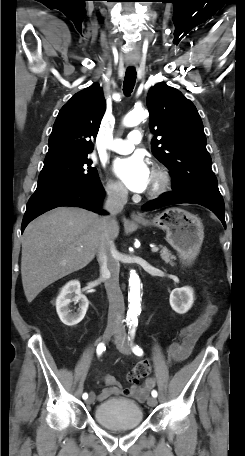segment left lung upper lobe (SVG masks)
Segmentation results:
<instances>
[{"label":"left lung upper lobe","mask_w":245,"mask_h":456,"mask_svg":"<svg viewBox=\"0 0 245 456\" xmlns=\"http://www.w3.org/2000/svg\"><path fill=\"white\" fill-rule=\"evenodd\" d=\"M146 102L155 133L151 150L170 170L173 191L221 195L194 104L164 82L149 90Z\"/></svg>","instance_id":"obj_1"}]
</instances>
